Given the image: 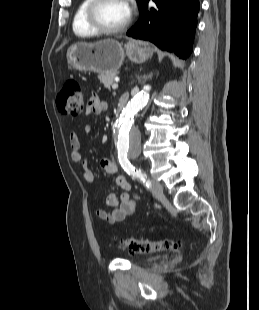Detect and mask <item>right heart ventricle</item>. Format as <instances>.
I'll return each instance as SVG.
<instances>
[{
	"mask_svg": "<svg viewBox=\"0 0 259 310\" xmlns=\"http://www.w3.org/2000/svg\"><path fill=\"white\" fill-rule=\"evenodd\" d=\"M90 2L91 0H81L73 16V32L81 38H87L95 35V32L87 25L85 20L86 9Z\"/></svg>",
	"mask_w": 259,
	"mask_h": 310,
	"instance_id": "e07e8e85",
	"label": "right heart ventricle"
}]
</instances>
